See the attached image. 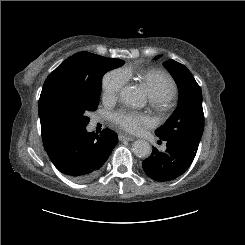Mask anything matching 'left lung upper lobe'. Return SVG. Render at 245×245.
Here are the masks:
<instances>
[{
  "mask_svg": "<svg viewBox=\"0 0 245 245\" xmlns=\"http://www.w3.org/2000/svg\"><path fill=\"white\" fill-rule=\"evenodd\" d=\"M164 65L177 81L180 99L171 117L156 130V135L162 140H179L198 149L204 130L201 89L190 71L181 63L171 59Z\"/></svg>",
  "mask_w": 245,
  "mask_h": 245,
  "instance_id": "obj_1",
  "label": "left lung upper lobe"
}]
</instances>
